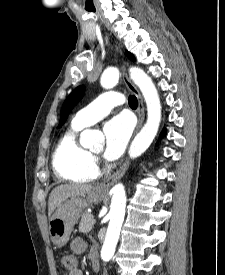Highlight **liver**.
<instances>
[{
	"label": "liver",
	"instance_id": "1",
	"mask_svg": "<svg viewBox=\"0 0 225 275\" xmlns=\"http://www.w3.org/2000/svg\"><path fill=\"white\" fill-rule=\"evenodd\" d=\"M93 190L88 184H65L52 190L48 201V216L51 217L54 210L68 198L84 196Z\"/></svg>",
	"mask_w": 225,
	"mask_h": 275
}]
</instances>
